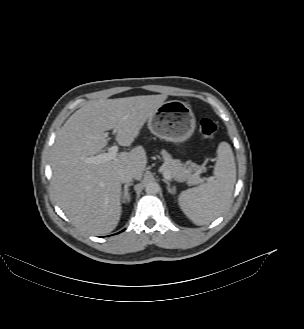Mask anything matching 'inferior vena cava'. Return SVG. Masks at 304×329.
<instances>
[{
	"mask_svg": "<svg viewBox=\"0 0 304 329\" xmlns=\"http://www.w3.org/2000/svg\"><path fill=\"white\" fill-rule=\"evenodd\" d=\"M133 178L134 174L130 170L124 169L118 173V179L121 183L131 182Z\"/></svg>",
	"mask_w": 304,
	"mask_h": 329,
	"instance_id": "602c4592",
	"label": "inferior vena cava"
}]
</instances>
